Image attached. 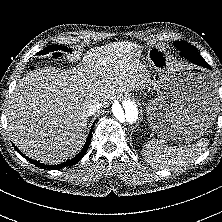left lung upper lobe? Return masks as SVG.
Listing matches in <instances>:
<instances>
[{"instance_id":"1","label":"left lung upper lobe","mask_w":222,"mask_h":222,"mask_svg":"<svg viewBox=\"0 0 222 222\" xmlns=\"http://www.w3.org/2000/svg\"><path fill=\"white\" fill-rule=\"evenodd\" d=\"M174 46L181 51V56L187 57V56H192L199 60L201 63L206 64L207 62L200 56L199 52L197 49L192 46L191 44L185 42V41H178L174 42Z\"/></svg>"}]
</instances>
